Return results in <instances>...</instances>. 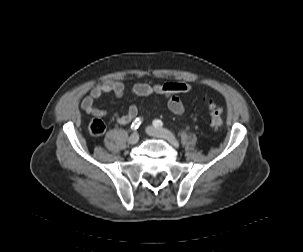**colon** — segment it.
<instances>
[{"label":"colon","mask_w":303,"mask_h":252,"mask_svg":"<svg viewBox=\"0 0 303 252\" xmlns=\"http://www.w3.org/2000/svg\"><path fill=\"white\" fill-rule=\"evenodd\" d=\"M207 107L211 117V127L218 129L223 123L222 109L216 106L212 101H208ZM89 129L92 135L100 136L105 132V124L99 119H94L89 124Z\"/></svg>","instance_id":"colon-1"}]
</instances>
